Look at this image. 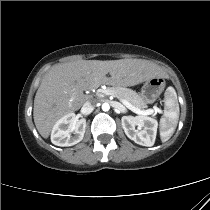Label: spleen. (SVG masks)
Returning a JSON list of instances; mask_svg holds the SVG:
<instances>
[{"label":"spleen","instance_id":"1","mask_svg":"<svg viewBox=\"0 0 210 210\" xmlns=\"http://www.w3.org/2000/svg\"><path fill=\"white\" fill-rule=\"evenodd\" d=\"M179 112L176 91L173 87H168L165 91L164 114L160 119V137L163 142L168 141L173 135L178 123Z\"/></svg>","mask_w":210,"mask_h":210}]
</instances>
